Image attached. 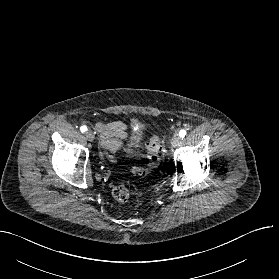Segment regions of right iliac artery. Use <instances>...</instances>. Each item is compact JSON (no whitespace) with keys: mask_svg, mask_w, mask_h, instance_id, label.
<instances>
[{"mask_svg":"<svg viewBox=\"0 0 279 279\" xmlns=\"http://www.w3.org/2000/svg\"><path fill=\"white\" fill-rule=\"evenodd\" d=\"M80 131H81L82 133H85V132L87 131V127H86V126H81V127H80Z\"/></svg>","mask_w":279,"mask_h":279,"instance_id":"82829eb1","label":"right iliac artery"}]
</instances>
